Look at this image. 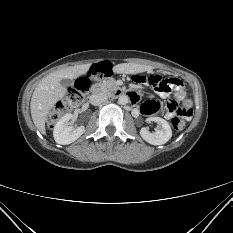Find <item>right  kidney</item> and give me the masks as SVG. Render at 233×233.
Masks as SVG:
<instances>
[{
    "label": "right kidney",
    "instance_id": "obj_1",
    "mask_svg": "<svg viewBox=\"0 0 233 233\" xmlns=\"http://www.w3.org/2000/svg\"><path fill=\"white\" fill-rule=\"evenodd\" d=\"M74 118L72 113L64 115L55 125L53 137L58 144L68 145L77 140L85 131L84 126L73 128L69 121Z\"/></svg>",
    "mask_w": 233,
    "mask_h": 233
}]
</instances>
